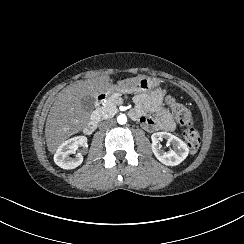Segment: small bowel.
I'll use <instances>...</instances> for the list:
<instances>
[{
	"label": "small bowel",
	"instance_id": "obj_1",
	"mask_svg": "<svg viewBox=\"0 0 244 244\" xmlns=\"http://www.w3.org/2000/svg\"><path fill=\"white\" fill-rule=\"evenodd\" d=\"M135 93L136 105L139 111V118L144 122H153L158 126H173L168 109L164 104L165 90L156 86L153 92ZM145 111H150L153 116H148Z\"/></svg>",
	"mask_w": 244,
	"mask_h": 244
}]
</instances>
